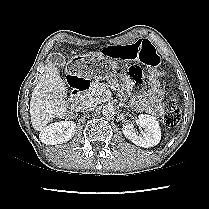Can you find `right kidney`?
Masks as SVG:
<instances>
[{
	"label": "right kidney",
	"instance_id": "obj_1",
	"mask_svg": "<svg viewBox=\"0 0 209 209\" xmlns=\"http://www.w3.org/2000/svg\"><path fill=\"white\" fill-rule=\"evenodd\" d=\"M76 132V124L72 121L55 122L43 128L40 140L46 145L62 144L69 141Z\"/></svg>",
	"mask_w": 209,
	"mask_h": 209
}]
</instances>
